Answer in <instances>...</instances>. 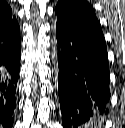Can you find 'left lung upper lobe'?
Listing matches in <instances>:
<instances>
[{
  "label": "left lung upper lobe",
  "mask_w": 125,
  "mask_h": 128,
  "mask_svg": "<svg viewBox=\"0 0 125 128\" xmlns=\"http://www.w3.org/2000/svg\"><path fill=\"white\" fill-rule=\"evenodd\" d=\"M55 14L59 23L103 35L93 7L85 0H58Z\"/></svg>",
  "instance_id": "left-lung-upper-lobe-1"
}]
</instances>
